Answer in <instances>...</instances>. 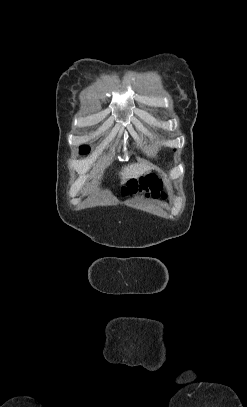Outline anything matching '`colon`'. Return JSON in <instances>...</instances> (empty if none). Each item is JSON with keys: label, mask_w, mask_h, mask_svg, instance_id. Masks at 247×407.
I'll list each match as a JSON object with an SVG mask.
<instances>
[{"label": "colon", "mask_w": 247, "mask_h": 407, "mask_svg": "<svg viewBox=\"0 0 247 407\" xmlns=\"http://www.w3.org/2000/svg\"><path fill=\"white\" fill-rule=\"evenodd\" d=\"M163 182L155 175H148L139 180H131L123 187V192L125 194L131 193H142L145 192L146 195H151L154 198H165L166 195L162 191Z\"/></svg>", "instance_id": "1"}]
</instances>
